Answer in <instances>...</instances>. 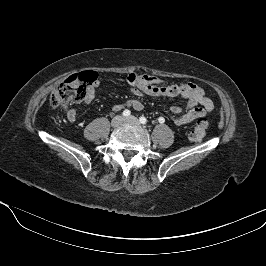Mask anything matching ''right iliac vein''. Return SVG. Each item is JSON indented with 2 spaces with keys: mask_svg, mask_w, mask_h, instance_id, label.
I'll use <instances>...</instances> for the list:
<instances>
[{
  "mask_svg": "<svg viewBox=\"0 0 266 266\" xmlns=\"http://www.w3.org/2000/svg\"><path fill=\"white\" fill-rule=\"evenodd\" d=\"M123 122H124V117L118 115V116H115V117L112 119V121H111V126L115 128V127L120 126Z\"/></svg>",
  "mask_w": 266,
  "mask_h": 266,
  "instance_id": "63e3f726",
  "label": "right iliac vein"
}]
</instances>
